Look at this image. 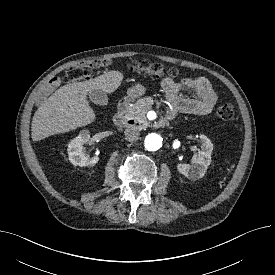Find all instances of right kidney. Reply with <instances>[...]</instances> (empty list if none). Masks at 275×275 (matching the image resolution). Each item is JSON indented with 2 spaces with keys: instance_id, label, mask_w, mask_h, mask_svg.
<instances>
[{
  "instance_id": "ca27d5eb",
  "label": "right kidney",
  "mask_w": 275,
  "mask_h": 275,
  "mask_svg": "<svg viewBox=\"0 0 275 275\" xmlns=\"http://www.w3.org/2000/svg\"><path fill=\"white\" fill-rule=\"evenodd\" d=\"M90 139V134L87 130H82L80 134L74 138L68 145L69 161L80 167L94 166L98 163L99 157H88L85 154L83 144Z\"/></svg>"
}]
</instances>
